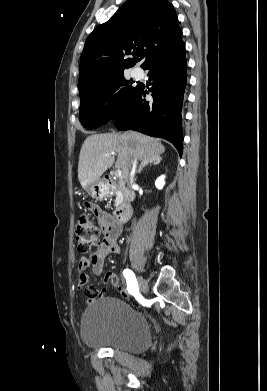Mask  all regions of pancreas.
I'll list each match as a JSON object with an SVG mask.
<instances>
[{"label": "pancreas", "instance_id": "pancreas-1", "mask_svg": "<svg viewBox=\"0 0 267 391\" xmlns=\"http://www.w3.org/2000/svg\"><path fill=\"white\" fill-rule=\"evenodd\" d=\"M113 193L116 195V200H115V206L116 208H119L123 202L124 195L121 189V182L118 184L113 183L111 185Z\"/></svg>", "mask_w": 267, "mask_h": 391}]
</instances>
